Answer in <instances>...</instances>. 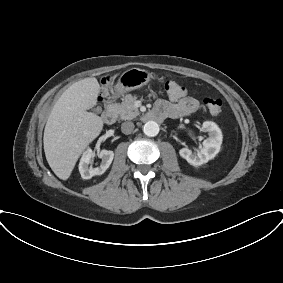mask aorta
Listing matches in <instances>:
<instances>
[{"mask_svg": "<svg viewBox=\"0 0 283 283\" xmlns=\"http://www.w3.org/2000/svg\"><path fill=\"white\" fill-rule=\"evenodd\" d=\"M145 135L154 137L159 133V125L155 121H148L143 127Z\"/></svg>", "mask_w": 283, "mask_h": 283, "instance_id": "obj_1", "label": "aorta"}]
</instances>
